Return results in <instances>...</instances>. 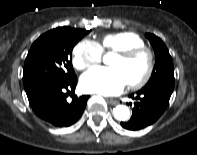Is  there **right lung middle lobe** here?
<instances>
[{
	"mask_svg": "<svg viewBox=\"0 0 197 155\" xmlns=\"http://www.w3.org/2000/svg\"><path fill=\"white\" fill-rule=\"evenodd\" d=\"M90 30L58 27L41 35L31 46L24 64L23 83L28 100L76 76L72 50Z\"/></svg>",
	"mask_w": 197,
	"mask_h": 155,
	"instance_id": "right-lung-middle-lobe-1",
	"label": "right lung middle lobe"
}]
</instances>
